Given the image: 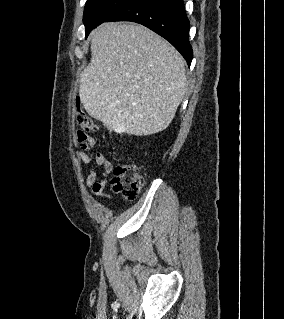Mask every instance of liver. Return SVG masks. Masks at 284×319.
Masks as SVG:
<instances>
[{"label": "liver", "instance_id": "6515ba94", "mask_svg": "<svg viewBox=\"0 0 284 319\" xmlns=\"http://www.w3.org/2000/svg\"><path fill=\"white\" fill-rule=\"evenodd\" d=\"M90 49L79 86L87 113L131 135L166 129L186 92L178 51L144 26L122 23L97 27Z\"/></svg>", "mask_w": 284, "mask_h": 319}]
</instances>
